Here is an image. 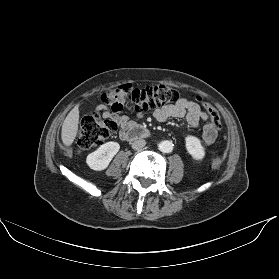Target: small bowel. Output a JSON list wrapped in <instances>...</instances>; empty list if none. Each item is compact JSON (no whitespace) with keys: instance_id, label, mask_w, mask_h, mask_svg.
Here are the masks:
<instances>
[{"instance_id":"1","label":"small bowel","mask_w":279,"mask_h":279,"mask_svg":"<svg viewBox=\"0 0 279 279\" xmlns=\"http://www.w3.org/2000/svg\"><path fill=\"white\" fill-rule=\"evenodd\" d=\"M97 112H103V114L108 113V107L104 104L99 105L96 108ZM155 119L159 122H165L170 118H185L188 125L191 127H196L199 122H207L208 113L201 109V107L186 98L179 99L175 104L166 105L159 108H156L153 113ZM143 116L142 113L137 114L138 118ZM118 124L120 126V137L123 138L124 133L136 126V122L130 119L128 116L123 115L118 118ZM217 136V130L211 124V121H208L204 127L202 134V140L204 144L210 145L214 142Z\"/></svg>"}]
</instances>
